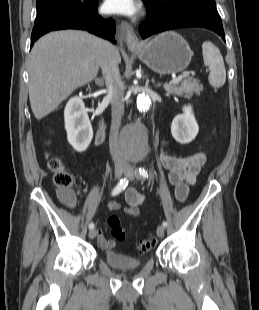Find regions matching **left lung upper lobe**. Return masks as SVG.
<instances>
[{
  "label": "left lung upper lobe",
  "mask_w": 259,
  "mask_h": 310,
  "mask_svg": "<svg viewBox=\"0 0 259 310\" xmlns=\"http://www.w3.org/2000/svg\"><path fill=\"white\" fill-rule=\"evenodd\" d=\"M154 18H161L180 10L204 6L216 8L215 0H143Z\"/></svg>",
  "instance_id": "1"
}]
</instances>
